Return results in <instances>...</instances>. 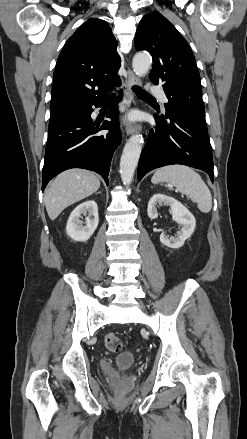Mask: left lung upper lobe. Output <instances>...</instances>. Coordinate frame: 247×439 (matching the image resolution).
Returning a JSON list of instances; mask_svg holds the SVG:
<instances>
[{
  "label": "left lung upper lobe",
  "mask_w": 247,
  "mask_h": 439,
  "mask_svg": "<svg viewBox=\"0 0 247 439\" xmlns=\"http://www.w3.org/2000/svg\"><path fill=\"white\" fill-rule=\"evenodd\" d=\"M135 48L153 57L150 79L156 85L162 84L168 98L165 117L189 115L205 121L196 61L176 28L157 11L147 14L137 28Z\"/></svg>",
  "instance_id": "5c2ea615"
}]
</instances>
